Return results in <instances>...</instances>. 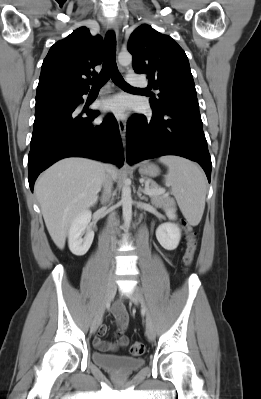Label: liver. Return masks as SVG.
Instances as JSON below:
<instances>
[{
  "label": "liver",
  "mask_w": 261,
  "mask_h": 399,
  "mask_svg": "<svg viewBox=\"0 0 261 399\" xmlns=\"http://www.w3.org/2000/svg\"><path fill=\"white\" fill-rule=\"evenodd\" d=\"M107 174L117 179V170L112 165L86 158H66L38 178L35 194L47 230L59 249L65 246L72 220L97 202Z\"/></svg>",
  "instance_id": "6515ba94"
}]
</instances>
